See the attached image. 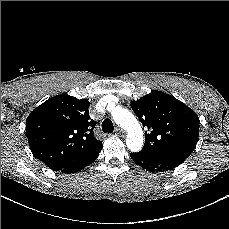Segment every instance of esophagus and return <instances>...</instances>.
Here are the masks:
<instances>
[{
  "label": "esophagus",
  "mask_w": 229,
  "mask_h": 229,
  "mask_svg": "<svg viewBox=\"0 0 229 229\" xmlns=\"http://www.w3.org/2000/svg\"><path fill=\"white\" fill-rule=\"evenodd\" d=\"M115 134H117L119 136H124L125 132H124V130H122L120 128H116L115 129Z\"/></svg>",
  "instance_id": "obj_1"
}]
</instances>
